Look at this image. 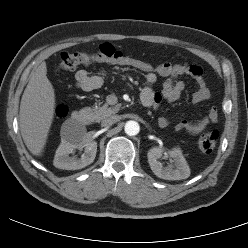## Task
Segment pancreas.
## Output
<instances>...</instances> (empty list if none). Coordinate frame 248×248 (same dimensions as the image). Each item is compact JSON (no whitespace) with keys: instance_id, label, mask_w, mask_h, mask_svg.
Returning <instances> with one entry per match:
<instances>
[{"instance_id":"obj_1","label":"pancreas","mask_w":248,"mask_h":248,"mask_svg":"<svg viewBox=\"0 0 248 248\" xmlns=\"http://www.w3.org/2000/svg\"><path fill=\"white\" fill-rule=\"evenodd\" d=\"M121 105L117 104L113 107H109L107 103L102 106L98 105L90 109L92 112V118L95 121H99L107 116L117 113L120 110Z\"/></svg>"}]
</instances>
